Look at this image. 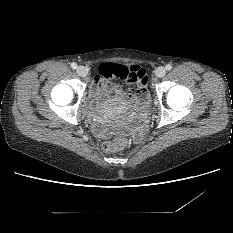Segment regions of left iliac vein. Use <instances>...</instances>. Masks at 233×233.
Masks as SVG:
<instances>
[{
  "label": "left iliac vein",
  "instance_id": "4c4485c4",
  "mask_svg": "<svg viewBox=\"0 0 233 233\" xmlns=\"http://www.w3.org/2000/svg\"><path fill=\"white\" fill-rule=\"evenodd\" d=\"M166 74V69L163 66H160L156 69V76L161 78Z\"/></svg>",
  "mask_w": 233,
  "mask_h": 233
}]
</instances>
